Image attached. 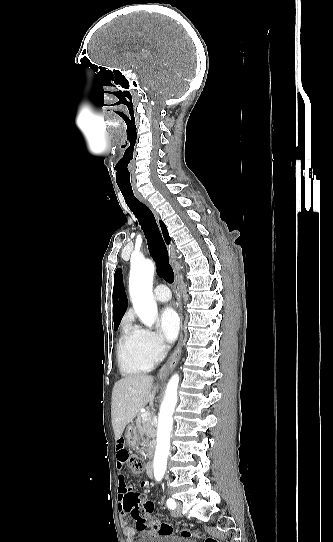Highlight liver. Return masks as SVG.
Returning a JSON list of instances; mask_svg holds the SVG:
<instances>
[{"label":"liver","mask_w":333,"mask_h":542,"mask_svg":"<svg viewBox=\"0 0 333 542\" xmlns=\"http://www.w3.org/2000/svg\"><path fill=\"white\" fill-rule=\"evenodd\" d=\"M153 382V376L146 374H131L116 382L112 392V426L116 442L141 408L148 402L153 408L157 392Z\"/></svg>","instance_id":"6515ba94"}]
</instances>
